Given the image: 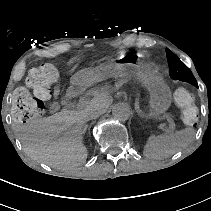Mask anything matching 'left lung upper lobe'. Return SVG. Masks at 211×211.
<instances>
[{"mask_svg":"<svg viewBox=\"0 0 211 211\" xmlns=\"http://www.w3.org/2000/svg\"><path fill=\"white\" fill-rule=\"evenodd\" d=\"M169 75L174 80H180L188 82L196 87H198L197 81L193 76L191 70L182 62L180 59L172 53L169 49H166Z\"/></svg>","mask_w":211,"mask_h":211,"instance_id":"left-lung-upper-lobe-1","label":"left lung upper lobe"}]
</instances>
